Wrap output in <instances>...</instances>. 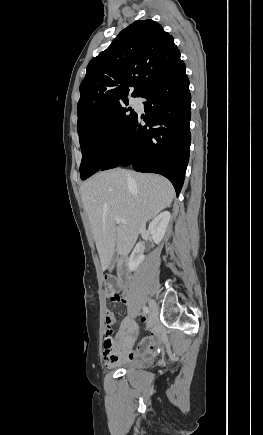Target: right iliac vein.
I'll use <instances>...</instances> for the list:
<instances>
[{"instance_id":"1","label":"right iliac vein","mask_w":263,"mask_h":435,"mask_svg":"<svg viewBox=\"0 0 263 435\" xmlns=\"http://www.w3.org/2000/svg\"><path fill=\"white\" fill-rule=\"evenodd\" d=\"M149 308H150V313L148 317L147 328H150L154 324L157 317V305L154 300H150Z\"/></svg>"}]
</instances>
